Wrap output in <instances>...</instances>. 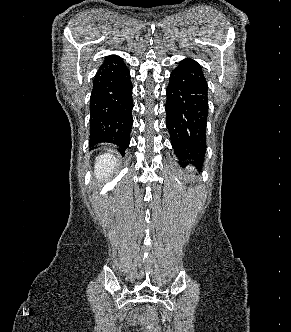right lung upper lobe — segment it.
Masks as SVG:
<instances>
[{"label": "right lung upper lobe", "instance_id": "cb5924a9", "mask_svg": "<svg viewBox=\"0 0 291 332\" xmlns=\"http://www.w3.org/2000/svg\"><path fill=\"white\" fill-rule=\"evenodd\" d=\"M118 56H115V55H111V56H108L107 58H106V60H108V59H114V58H117Z\"/></svg>", "mask_w": 291, "mask_h": 332}]
</instances>
